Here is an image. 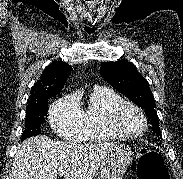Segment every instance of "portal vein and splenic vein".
<instances>
[{
	"mask_svg": "<svg viewBox=\"0 0 183 179\" xmlns=\"http://www.w3.org/2000/svg\"><path fill=\"white\" fill-rule=\"evenodd\" d=\"M59 174H60L61 176L66 175V171H60Z\"/></svg>",
	"mask_w": 183,
	"mask_h": 179,
	"instance_id": "portal-vein-and-splenic-vein-1",
	"label": "portal vein and splenic vein"
}]
</instances>
